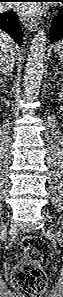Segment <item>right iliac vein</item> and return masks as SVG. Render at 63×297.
<instances>
[{
  "label": "right iliac vein",
  "mask_w": 63,
  "mask_h": 297,
  "mask_svg": "<svg viewBox=\"0 0 63 297\" xmlns=\"http://www.w3.org/2000/svg\"><path fill=\"white\" fill-rule=\"evenodd\" d=\"M2 232L6 231V227L4 226L2 229H1Z\"/></svg>",
  "instance_id": "obj_1"
}]
</instances>
